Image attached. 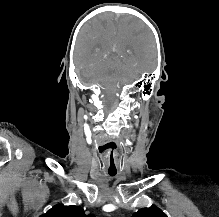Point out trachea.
<instances>
[{
    "instance_id": "3493384b",
    "label": "trachea",
    "mask_w": 219,
    "mask_h": 217,
    "mask_svg": "<svg viewBox=\"0 0 219 217\" xmlns=\"http://www.w3.org/2000/svg\"><path fill=\"white\" fill-rule=\"evenodd\" d=\"M109 174H110L111 176H115V175H116V172H115V173L109 172Z\"/></svg>"
}]
</instances>
